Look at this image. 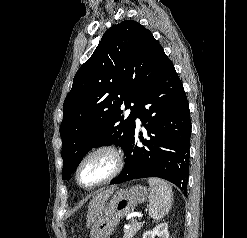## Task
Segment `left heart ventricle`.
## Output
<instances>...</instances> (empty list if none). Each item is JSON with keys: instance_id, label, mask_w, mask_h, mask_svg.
<instances>
[{"instance_id": "left-heart-ventricle-1", "label": "left heart ventricle", "mask_w": 247, "mask_h": 238, "mask_svg": "<svg viewBox=\"0 0 247 238\" xmlns=\"http://www.w3.org/2000/svg\"><path fill=\"white\" fill-rule=\"evenodd\" d=\"M113 169V160L105 154L89 159L80 170V180L85 185L94 184L110 174Z\"/></svg>"}]
</instances>
